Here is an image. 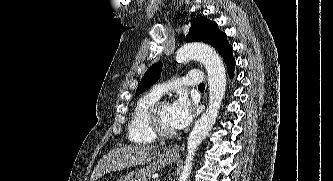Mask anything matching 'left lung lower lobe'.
<instances>
[{"label":"left lung lower lobe","instance_id":"left-lung-lower-lobe-1","mask_svg":"<svg viewBox=\"0 0 333 181\" xmlns=\"http://www.w3.org/2000/svg\"><path fill=\"white\" fill-rule=\"evenodd\" d=\"M223 59L225 60L228 68V73L230 78H232L234 73V67H235V60L232 55V47L225 53L223 56Z\"/></svg>","mask_w":333,"mask_h":181}]
</instances>
